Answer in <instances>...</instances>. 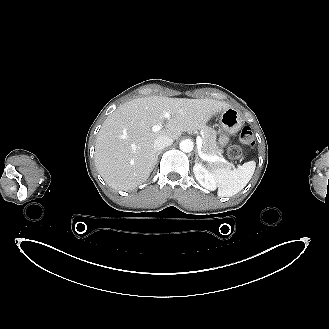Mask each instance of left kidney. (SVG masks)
Returning a JSON list of instances; mask_svg holds the SVG:
<instances>
[{"label":"left kidney","mask_w":329,"mask_h":329,"mask_svg":"<svg viewBox=\"0 0 329 329\" xmlns=\"http://www.w3.org/2000/svg\"><path fill=\"white\" fill-rule=\"evenodd\" d=\"M193 172L195 174L196 180H198L202 187L211 191L216 189L217 185L214 177L202 164L196 162L193 167Z\"/></svg>","instance_id":"obj_1"}]
</instances>
